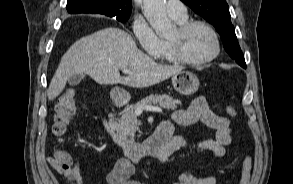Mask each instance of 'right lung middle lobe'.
Here are the masks:
<instances>
[{
    "instance_id": "1",
    "label": "right lung middle lobe",
    "mask_w": 293,
    "mask_h": 184,
    "mask_svg": "<svg viewBox=\"0 0 293 184\" xmlns=\"http://www.w3.org/2000/svg\"><path fill=\"white\" fill-rule=\"evenodd\" d=\"M114 17V16H113ZM116 19L120 22H125L128 20V18L130 17V14H126V15H115Z\"/></svg>"
}]
</instances>
